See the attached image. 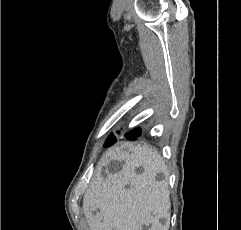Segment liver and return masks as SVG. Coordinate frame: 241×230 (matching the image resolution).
<instances>
[{"mask_svg":"<svg viewBox=\"0 0 241 230\" xmlns=\"http://www.w3.org/2000/svg\"><path fill=\"white\" fill-rule=\"evenodd\" d=\"M130 153L110 149L102 166L110 161L123 162L121 170L106 177L98 175L84 194L83 212L90 230H168L170 200L167 190L168 174L161 155L146 146H128ZM143 166L141 174L136 168ZM164 173L158 181L156 175Z\"/></svg>","mask_w":241,"mask_h":230,"instance_id":"6515ba94","label":"liver"}]
</instances>
